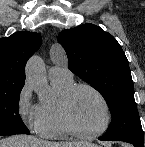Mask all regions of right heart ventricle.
Listing matches in <instances>:
<instances>
[{
    "label": "right heart ventricle",
    "instance_id": "right-heart-ventricle-1",
    "mask_svg": "<svg viewBox=\"0 0 145 147\" xmlns=\"http://www.w3.org/2000/svg\"><path fill=\"white\" fill-rule=\"evenodd\" d=\"M53 88L57 93V98L50 103L39 105L41 113V123L38 133L45 138L65 139L73 133L68 129L63 121L60 111V101L69 89L75 85L72 79H51Z\"/></svg>",
    "mask_w": 145,
    "mask_h": 147
}]
</instances>
